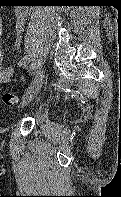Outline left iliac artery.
Segmentation results:
<instances>
[{
    "instance_id": "obj_1",
    "label": "left iliac artery",
    "mask_w": 121,
    "mask_h": 197,
    "mask_svg": "<svg viewBox=\"0 0 121 197\" xmlns=\"http://www.w3.org/2000/svg\"><path fill=\"white\" fill-rule=\"evenodd\" d=\"M31 60L30 55H25L19 62L20 67H25Z\"/></svg>"
}]
</instances>
